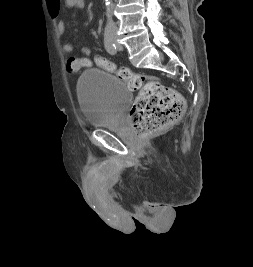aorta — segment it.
Returning a JSON list of instances; mask_svg holds the SVG:
<instances>
[{
  "label": "aorta",
  "mask_w": 253,
  "mask_h": 267,
  "mask_svg": "<svg viewBox=\"0 0 253 267\" xmlns=\"http://www.w3.org/2000/svg\"><path fill=\"white\" fill-rule=\"evenodd\" d=\"M106 8H107V10H106V16L108 18V16H109V2H108V0H106Z\"/></svg>",
  "instance_id": "obj_1"
}]
</instances>
